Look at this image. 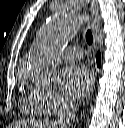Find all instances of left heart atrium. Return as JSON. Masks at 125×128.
I'll return each mask as SVG.
<instances>
[{
	"label": "left heart atrium",
	"instance_id": "1",
	"mask_svg": "<svg viewBox=\"0 0 125 128\" xmlns=\"http://www.w3.org/2000/svg\"><path fill=\"white\" fill-rule=\"evenodd\" d=\"M92 81V74L86 67L73 64L67 66L62 72L59 85L66 97L79 99L89 90Z\"/></svg>",
	"mask_w": 125,
	"mask_h": 128
}]
</instances>
